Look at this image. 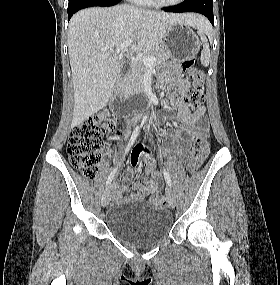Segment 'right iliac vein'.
I'll use <instances>...</instances> for the list:
<instances>
[{"label": "right iliac vein", "instance_id": "63e3f726", "mask_svg": "<svg viewBox=\"0 0 280 285\" xmlns=\"http://www.w3.org/2000/svg\"><path fill=\"white\" fill-rule=\"evenodd\" d=\"M111 193H112V185L110 184L107 189L104 191L102 196V206L106 207L109 204V201L111 199Z\"/></svg>", "mask_w": 280, "mask_h": 285}]
</instances>
